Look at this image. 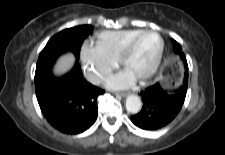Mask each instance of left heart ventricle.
Masks as SVG:
<instances>
[{
	"label": "left heart ventricle",
	"mask_w": 225,
	"mask_h": 155,
	"mask_svg": "<svg viewBox=\"0 0 225 155\" xmlns=\"http://www.w3.org/2000/svg\"><path fill=\"white\" fill-rule=\"evenodd\" d=\"M160 48V40L155 34L143 36L136 44L133 52L125 62L124 69L136 79L145 75L156 60Z\"/></svg>",
	"instance_id": "left-heart-ventricle-1"
}]
</instances>
